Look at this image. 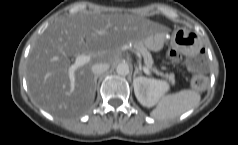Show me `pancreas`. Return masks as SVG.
Masks as SVG:
<instances>
[{"label": "pancreas", "mask_w": 238, "mask_h": 145, "mask_svg": "<svg viewBox=\"0 0 238 145\" xmlns=\"http://www.w3.org/2000/svg\"><path fill=\"white\" fill-rule=\"evenodd\" d=\"M133 49L137 53H140L143 56L144 63L148 69L153 71L155 74L161 76L162 78L168 80L171 84L175 83L174 74H172V73L164 74V73L160 72L159 70H157V68H155L153 66V64H154L153 58H152L150 52L148 51V49L144 46V44L142 42H133Z\"/></svg>", "instance_id": "1"}]
</instances>
